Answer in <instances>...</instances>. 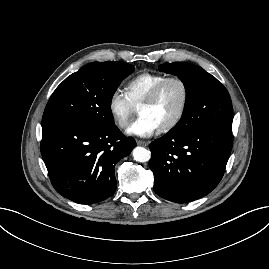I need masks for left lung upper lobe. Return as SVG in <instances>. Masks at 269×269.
<instances>
[{
	"label": "left lung upper lobe",
	"mask_w": 269,
	"mask_h": 269,
	"mask_svg": "<svg viewBox=\"0 0 269 269\" xmlns=\"http://www.w3.org/2000/svg\"><path fill=\"white\" fill-rule=\"evenodd\" d=\"M178 76L187 90V102L180 121L169 132L184 134L213 124H232L233 108L226 88L199 66L173 62L158 66Z\"/></svg>",
	"instance_id": "left-lung-upper-lobe-1"
}]
</instances>
